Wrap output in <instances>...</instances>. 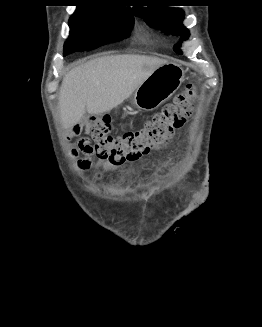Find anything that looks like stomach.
Listing matches in <instances>:
<instances>
[{"mask_svg": "<svg viewBox=\"0 0 262 327\" xmlns=\"http://www.w3.org/2000/svg\"><path fill=\"white\" fill-rule=\"evenodd\" d=\"M183 80V68L167 62L155 69L134 91L131 102L138 109L152 111L167 101Z\"/></svg>", "mask_w": 262, "mask_h": 327, "instance_id": "1", "label": "stomach"}]
</instances>
